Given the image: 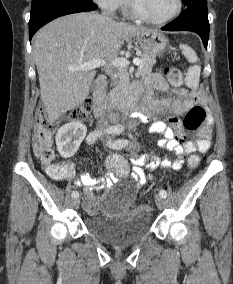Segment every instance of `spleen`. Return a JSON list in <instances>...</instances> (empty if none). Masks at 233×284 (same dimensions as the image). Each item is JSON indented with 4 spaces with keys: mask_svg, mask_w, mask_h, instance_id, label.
<instances>
[{
    "mask_svg": "<svg viewBox=\"0 0 233 284\" xmlns=\"http://www.w3.org/2000/svg\"><path fill=\"white\" fill-rule=\"evenodd\" d=\"M180 48L182 50V53L190 63L198 62V56L191 47H189L188 45L181 44ZM200 72H201L200 65H194L189 68L188 76L185 79L186 85L189 88L195 89L198 87L200 80Z\"/></svg>",
    "mask_w": 233,
    "mask_h": 284,
    "instance_id": "3e777b00",
    "label": "spleen"
}]
</instances>
